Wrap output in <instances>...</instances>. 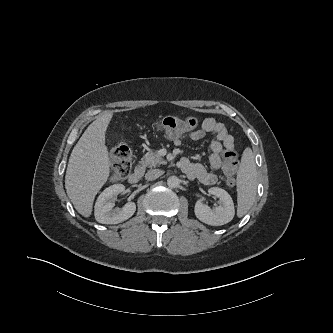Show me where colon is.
I'll use <instances>...</instances> for the list:
<instances>
[{
  "label": "colon",
  "mask_w": 333,
  "mask_h": 333,
  "mask_svg": "<svg viewBox=\"0 0 333 333\" xmlns=\"http://www.w3.org/2000/svg\"><path fill=\"white\" fill-rule=\"evenodd\" d=\"M196 116H188L184 118L166 117L159 120L155 127L158 131L165 135L178 138L184 133L192 131L198 125ZM113 159V170L111 174L112 181H119L126 178L132 169V156L129 147L125 144H117L111 150ZM223 171L230 184L234 183V177L238 167V156L234 148H227L224 151Z\"/></svg>",
  "instance_id": "colon-1"
}]
</instances>
